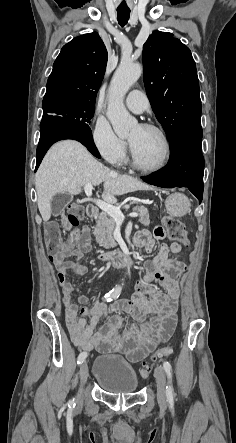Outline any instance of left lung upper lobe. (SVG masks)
I'll use <instances>...</instances> for the list:
<instances>
[{
    "instance_id": "1",
    "label": "left lung upper lobe",
    "mask_w": 236,
    "mask_h": 443,
    "mask_svg": "<svg viewBox=\"0 0 236 443\" xmlns=\"http://www.w3.org/2000/svg\"><path fill=\"white\" fill-rule=\"evenodd\" d=\"M144 84L152 109L169 140L201 125V100L190 49L173 34L153 32L143 46Z\"/></svg>"
}]
</instances>
